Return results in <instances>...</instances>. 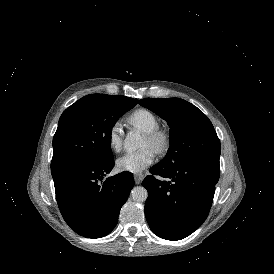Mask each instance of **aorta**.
<instances>
[{
  "mask_svg": "<svg viewBox=\"0 0 274 274\" xmlns=\"http://www.w3.org/2000/svg\"><path fill=\"white\" fill-rule=\"evenodd\" d=\"M142 137L137 131H130L125 139V146L129 149L138 148L141 145ZM131 197L135 202H144L148 197L147 190L142 186H136L131 191Z\"/></svg>",
  "mask_w": 274,
  "mask_h": 274,
  "instance_id": "1",
  "label": "aorta"
}]
</instances>
